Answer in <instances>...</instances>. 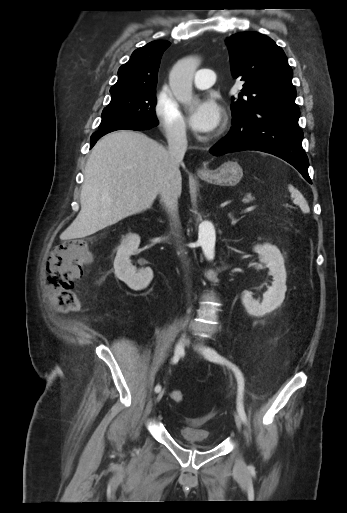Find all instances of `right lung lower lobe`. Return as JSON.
<instances>
[{"label": "right lung lower lobe", "instance_id": "right-lung-lower-lobe-1", "mask_svg": "<svg viewBox=\"0 0 347 513\" xmlns=\"http://www.w3.org/2000/svg\"><path fill=\"white\" fill-rule=\"evenodd\" d=\"M149 128H151V127H145V126H141L138 124H119V125L111 126L108 128L100 129V130L96 131L95 133H93V135L91 136L90 148H92L94 146V144L97 142V140L99 138H101L103 135L110 133L112 131L121 130V129L146 130Z\"/></svg>", "mask_w": 347, "mask_h": 513}]
</instances>
